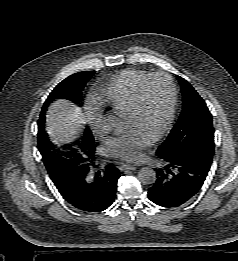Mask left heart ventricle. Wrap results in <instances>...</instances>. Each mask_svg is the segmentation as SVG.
Here are the masks:
<instances>
[{"label":"left heart ventricle","instance_id":"left-heart-ventricle-1","mask_svg":"<svg viewBox=\"0 0 238 261\" xmlns=\"http://www.w3.org/2000/svg\"><path fill=\"white\" fill-rule=\"evenodd\" d=\"M170 107L168 84L162 78L155 79L146 88L140 113H128L127 126L140 127L152 137L162 127Z\"/></svg>","mask_w":238,"mask_h":261}]
</instances>
